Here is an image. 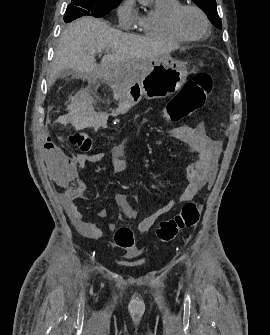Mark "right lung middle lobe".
<instances>
[{"instance_id": "obj_1", "label": "right lung middle lobe", "mask_w": 270, "mask_h": 335, "mask_svg": "<svg viewBox=\"0 0 270 335\" xmlns=\"http://www.w3.org/2000/svg\"><path fill=\"white\" fill-rule=\"evenodd\" d=\"M68 5L64 21L69 23L82 16L100 18L108 14L112 9L119 5L121 1L112 0H71Z\"/></svg>"}]
</instances>
